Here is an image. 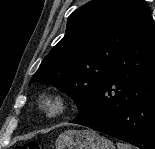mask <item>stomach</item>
<instances>
[{
    "mask_svg": "<svg viewBox=\"0 0 155 149\" xmlns=\"http://www.w3.org/2000/svg\"><path fill=\"white\" fill-rule=\"evenodd\" d=\"M56 149H115L113 143L97 132L84 130H67L56 140Z\"/></svg>",
    "mask_w": 155,
    "mask_h": 149,
    "instance_id": "0dacf381",
    "label": "stomach"
}]
</instances>
